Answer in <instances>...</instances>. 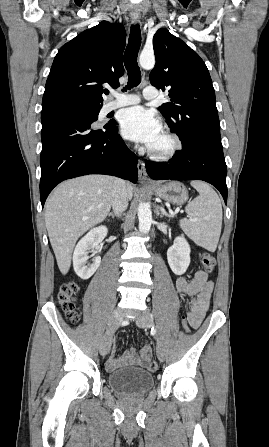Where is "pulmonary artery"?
I'll use <instances>...</instances> for the list:
<instances>
[{
  "instance_id": "e3ab8cb5",
  "label": "pulmonary artery",
  "mask_w": 269,
  "mask_h": 447,
  "mask_svg": "<svg viewBox=\"0 0 269 447\" xmlns=\"http://www.w3.org/2000/svg\"><path fill=\"white\" fill-rule=\"evenodd\" d=\"M158 96V91L152 86L143 89L142 95L139 94H116L114 98L104 106L105 111H111L123 106L139 103L142 99L152 100Z\"/></svg>"
}]
</instances>
